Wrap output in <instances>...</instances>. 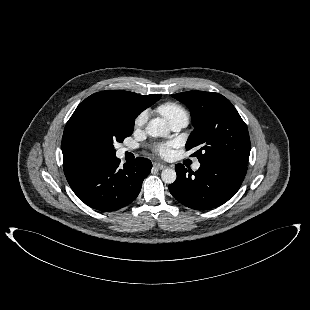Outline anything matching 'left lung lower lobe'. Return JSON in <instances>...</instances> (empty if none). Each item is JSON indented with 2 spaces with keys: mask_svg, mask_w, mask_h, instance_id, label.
Returning <instances> with one entry per match:
<instances>
[{
  "mask_svg": "<svg viewBox=\"0 0 310 310\" xmlns=\"http://www.w3.org/2000/svg\"><path fill=\"white\" fill-rule=\"evenodd\" d=\"M177 179L169 185L170 193L183 205L207 210L227 202L240 188L247 167L234 162L201 163L196 172L182 164L175 165Z\"/></svg>",
  "mask_w": 310,
  "mask_h": 310,
  "instance_id": "obj_1",
  "label": "left lung lower lobe"
}]
</instances>
